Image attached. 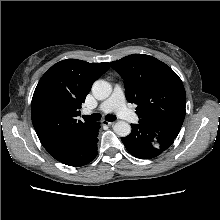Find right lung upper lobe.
<instances>
[{
  "label": "right lung upper lobe",
  "instance_id": "cb5924a9",
  "mask_svg": "<svg viewBox=\"0 0 220 220\" xmlns=\"http://www.w3.org/2000/svg\"><path fill=\"white\" fill-rule=\"evenodd\" d=\"M109 67L108 62L67 59L53 65L38 82L31 103L32 123L40 142L55 159L95 125L76 117L92 84Z\"/></svg>",
  "mask_w": 220,
  "mask_h": 220
}]
</instances>
